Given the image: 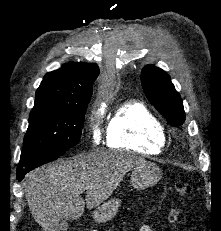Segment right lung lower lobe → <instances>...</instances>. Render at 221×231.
Returning <instances> with one entry per match:
<instances>
[{
    "instance_id": "1",
    "label": "right lung lower lobe",
    "mask_w": 221,
    "mask_h": 231,
    "mask_svg": "<svg viewBox=\"0 0 221 231\" xmlns=\"http://www.w3.org/2000/svg\"><path fill=\"white\" fill-rule=\"evenodd\" d=\"M64 153L57 154V155H50V156H45L42 158H39L37 160L32 161L31 163L25 165V166H18L17 172H16V177L19 181H21L25 174L31 171L34 168H37L45 163H48L50 161H53L63 155Z\"/></svg>"
}]
</instances>
